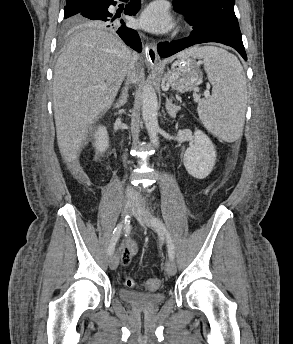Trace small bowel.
I'll return each mask as SVG.
<instances>
[{"label": "small bowel", "instance_id": "c3829d8e", "mask_svg": "<svg viewBox=\"0 0 293 344\" xmlns=\"http://www.w3.org/2000/svg\"><path fill=\"white\" fill-rule=\"evenodd\" d=\"M138 251L137 244L134 241H128L121 250V258L124 264H128L131 257Z\"/></svg>", "mask_w": 293, "mask_h": 344}]
</instances>
